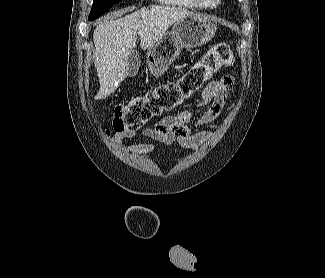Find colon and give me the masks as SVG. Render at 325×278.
<instances>
[{
    "label": "colon",
    "instance_id": "1",
    "mask_svg": "<svg viewBox=\"0 0 325 278\" xmlns=\"http://www.w3.org/2000/svg\"><path fill=\"white\" fill-rule=\"evenodd\" d=\"M235 57L227 43L212 46L202 60L181 77L160 84L144 95L117 103L113 109V129L118 132L141 129L154 118L172 111L200 89L222 67H233Z\"/></svg>",
    "mask_w": 325,
    "mask_h": 278
}]
</instances>
